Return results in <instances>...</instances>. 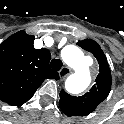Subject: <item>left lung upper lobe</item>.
Here are the masks:
<instances>
[{
	"mask_svg": "<svg viewBox=\"0 0 124 124\" xmlns=\"http://www.w3.org/2000/svg\"><path fill=\"white\" fill-rule=\"evenodd\" d=\"M77 45L95 56L99 63V74L95 84L83 96H71L64 90L60 92L59 106L67 116L90 114L108 96L111 89V71L106 56L98 43L92 39H85L78 41Z\"/></svg>",
	"mask_w": 124,
	"mask_h": 124,
	"instance_id": "left-lung-upper-lobe-1",
	"label": "left lung upper lobe"
}]
</instances>
